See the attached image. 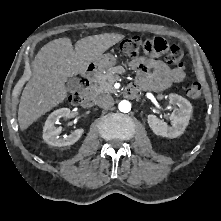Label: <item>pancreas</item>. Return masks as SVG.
<instances>
[{
    "label": "pancreas",
    "instance_id": "pancreas-1",
    "mask_svg": "<svg viewBox=\"0 0 221 221\" xmlns=\"http://www.w3.org/2000/svg\"><path fill=\"white\" fill-rule=\"evenodd\" d=\"M125 72L122 66H115L107 69L106 73L99 74L96 78L95 84L91 87L94 94L114 93L113 84L118 80V74Z\"/></svg>",
    "mask_w": 221,
    "mask_h": 221
}]
</instances>
